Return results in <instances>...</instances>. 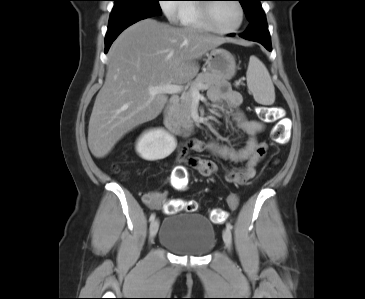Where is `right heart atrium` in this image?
I'll use <instances>...</instances> for the list:
<instances>
[{
	"instance_id": "right-heart-atrium-1",
	"label": "right heart atrium",
	"mask_w": 365,
	"mask_h": 299,
	"mask_svg": "<svg viewBox=\"0 0 365 299\" xmlns=\"http://www.w3.org/2000/svg\"><path fill=\"white\" fill-rule=\"evenodd\" d=\"M177 0H160V6L164 14L170 21L179 20L182 8L176 4Z\"/></svg>"
}]
</instances>
